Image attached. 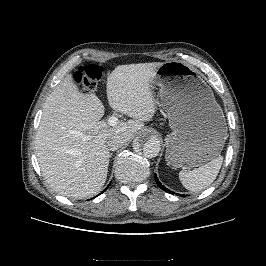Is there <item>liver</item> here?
I'll use <instances>...</instances> for the list:
<instances>
[{
	"label": "liver",
	"instance_id": "obj_1",
	"mask_svg": "<svg viewBox=\"0 0 266 266\" xmlns=\"http://www.w3.org/2000/svg\"><path fill=\"white\" fill-rule=\"evenodd\" d=\"M163 63L119 65L107 78V99L116 112L131 120L108 125L104 106L94 93L79 91L67 75L47 97L36 133V156L46 182L59 194L82 199L105 184L111 154L107 140L130 141L153 118L156 105L151 81ZM111 126V127H110ZM73 131L88 136L84 141Z\"/></svg>",
	"mask_w": 266,
	"mask_h": 266
}]
</instances>
